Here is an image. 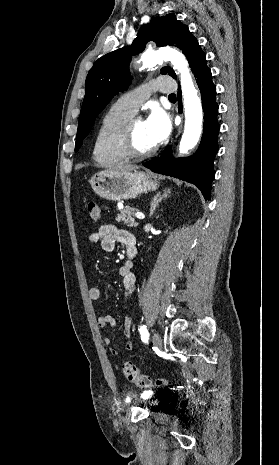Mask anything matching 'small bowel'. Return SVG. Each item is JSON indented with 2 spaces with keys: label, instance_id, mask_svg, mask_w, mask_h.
<instances>
[{
  "label": "small bowel",
  "instance_id": "obj_1",
  "mask_svg": "<svg viewBox=\"0 0 279 465\" xmlns=\"http://www.w3.org/2000/svg\"><path fill=\"white\" fill-rule=\"evenodd\" d=\"M91 242H99L102 249L106 252H112L115 249L117 243H121L126 247V252L132 250L134 252L133 257H129L119 268V275L123 279V284L126 289L131 292L134 290L136 275L133 272L134 268V258L137 255L136 240L135 237L126 230L120 229L114 225H103L96 232L92 233L89 237ZM89 297L92 301H99L102 297V288L100 286H93L89 289ZM98 325L101 328L114 327L116 325V320L111 315H102L98 317ZM132 334V322L129 315L124 313V327L123 335L127 339L125 342V349L127 351L132 350L133 343L129 340ZM104 343L106 345L111 344V338L106 336L104 338ZM112 355H118L119 352L115 348L110 349Z\"/></svg>",
  "mask_w": 279,
  "mask_h": 465
}]
</instances>
